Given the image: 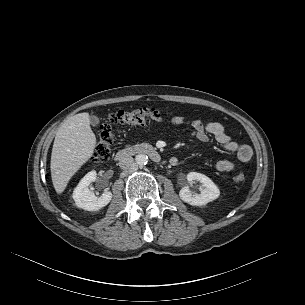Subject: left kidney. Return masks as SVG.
Returning <instances> with one entry per match:
<instances>
[{"label": "left kidney", "mask_w": 305, "mask_h": 305, "mask_svg": "<svg viewBox=\"0 0 305 305\" xmlns=\"http://www.w3.org/2000/svg\"><path fill=\"white\" fill-rule=\"evenodd\" d=\"M186 178L188 184L182 187L179 192V196L184 202L194 206H202L219 197L220 191L218 187L209 177L205 176L204 174L190 172L187 174ZM196 182H200L202 184L199 194L190 190V187Z\"/></svg>", "instance_id": "1"}]
</instances>
